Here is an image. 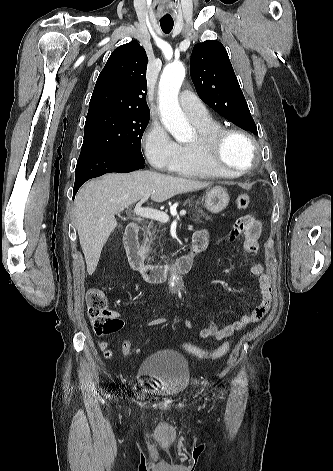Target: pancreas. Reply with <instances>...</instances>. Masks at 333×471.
<instances>
[{
  "mask_svg": "<svg viewBox=\"0 0 333 471\" xmlns=\"http://www.w3.org/2000/svg\"><path fill=\"white\" fill-rule=\"evenodd\" d=\"M189 204V206H194V213H192L193 221L196 223H201L200 220L204 217L206 220H210L211 218L201 209L198 207L199 202H194L191 199L185 201L184 205ZM160 232V225L155 226L154 223L150 222L147 227L143 229V241H142V248L143 250L148 253L152 252L153 250V241L157 238V234ZM150 259V258H149ZM153 259V257H152Z\"/></svg>",
  "mask_w": 333,
  "mask_h": 471,
  "instance_id": "pancreas-1",
  "label": "pancreas"
}]
</instances>
